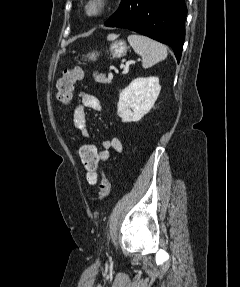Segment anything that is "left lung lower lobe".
<instances>
[{"label": "left lung lower lobe", "instance_id": "left-lung-lower-lobe-1", "mask_svg": "<svg viewBox=\"0 0 240 287\" xmlns=\"http://www.w3.org/2000/svg\"><path fill=\"white\" fill-rule=\"evenodd\" d=\"M186 15L185 0H122L105 26L126 28L167 44L179 62Z\"/></svg>", "mask_w": 240, "mask_h": 287}]
</instances>
